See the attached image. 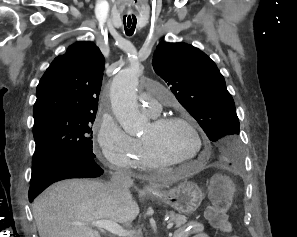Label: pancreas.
Masks as SVG:
<instances>
[{"label": "pancreas", "instance_id": "cf45deb5", "mask_svg": "<svg viewBox=\"0 0 297 237\" xmlns=\"http://www.w3.org/2000/svg\"><path fill=\"white\" fill-rule=\"evenodd\" d=\"M170 217V222L175 223V227L179 228L187 222V217L180 214H175L173 211L167 212Z\"/></svg>", "mask_w": 297, "mask_h": 237}]
</instances>
